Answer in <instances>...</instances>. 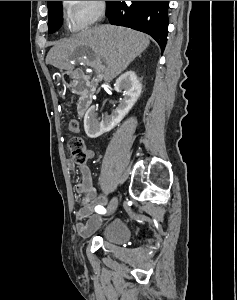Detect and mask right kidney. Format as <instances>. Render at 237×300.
Here are the masks:
<instances>
[{"label": "right kidney", "instance_id": "right-kidney-1", "mask_svg": "<svg viewBox=\"0 0 237 300\" xmlns=\"http://www.w3.org/2000/svg\"><path fill=\"white\" fill-rule=\"evenodd\" d=\"M115 91H124L122 101H119L118 107L111 111V115H103L102 119H97L96 107L92 105L85 113L84 129L87 137L97 139L103 133L112 131L125 115L129 113L137 99H139L142 91V85L137 79L134 71H127L121 75L115 83Z\"/></svg>", "mask_w": 237, "mask_h": 300}]
</instances>
